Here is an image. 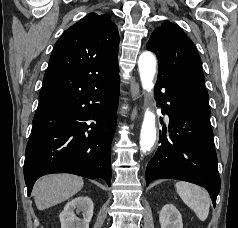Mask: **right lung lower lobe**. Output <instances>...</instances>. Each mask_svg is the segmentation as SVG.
<instances>
[{"label":"right lung lower lobe","instance_id":"1","mask_svg":"<svg viewBox=\"0 0 238 228\" xmlns=\"http://www.w3.org/2000/svg\"><path fill=\"white\" fill-rule=\"evenodd\" d=\"M118 97L119 79L58 103L38 106L25 153L28 195L34 182L50 173L102 178L110 186Z\"/></svg>","mask_w":238,"mask_h":228}]
</instances>
